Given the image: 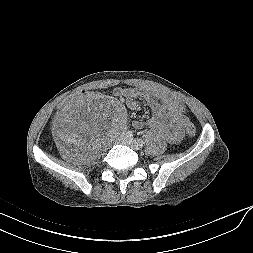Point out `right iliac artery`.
<instances>
[{"label":"right iliac artery","mask_w":253,"mask_h":253,"mask_svg":"<svg viewBox=\"0 0 253 253\" xmlns=\"http://www.w3.org/2000/svg\"><path fill=\"white\" fill-rule=\"evenodd\" d=\"M126 136H127V137H132V136H133L132 131H127V132H126Z\"/></svg>","instance_id":"obj_1"}]
</instances>
